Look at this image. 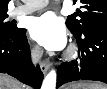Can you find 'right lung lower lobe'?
I'll list each match as a JSON object with an SVG mask.
<instances>
[{
    "instance_id": "right-lung-lower-lobe-1",
    "label": "right lung lower lobe",
    "mask_w": 107,
    "mask_h": 89,
    "mask_svg": "<svg viewBox=\"0 0 107 89\" xmlns=\"http://www.w3.org/2000/svg\"><path fill=\"white\" fill-rule=\"evenodd\" d=\"M25 33V29H20L10 36L0 33V72L39 89L43 73L39 66L33 67L30 62V50Z\"/></svg>"
}]
</instances>
